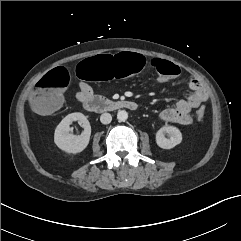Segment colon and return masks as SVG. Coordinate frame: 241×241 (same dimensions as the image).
<instances>
[{
  "instance_id": "colon-1",
  "label": "colon",
  "mask_w": 241,
  "mask_h": 241,
  "mask_svg": "<svg viewBox=\"0 0 241 241\" xmlns=\"http://www.w3.org/2000/svg\"><path fill=\"white\" fill-rule=\"evenodd\" d=\"M145 65V60L137 52L114 51L97 54L90 60L79 61L75 71L77 76L84 80H110L139 73ZM150 65L157 70L161 82L171 81L181 72L176 64L166 60L153 59ZM68 84L67 70L64 67L53 69L38 80L30 99L31 106L42 114L54 112L60 106ZM204 116L205 108L202 107L196 112V117L202 120Z\"/></svg>"
}]
</instances>
